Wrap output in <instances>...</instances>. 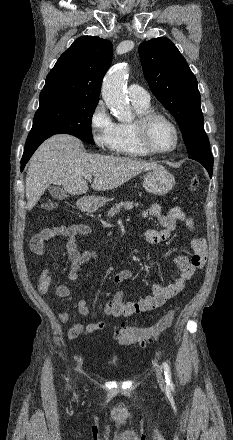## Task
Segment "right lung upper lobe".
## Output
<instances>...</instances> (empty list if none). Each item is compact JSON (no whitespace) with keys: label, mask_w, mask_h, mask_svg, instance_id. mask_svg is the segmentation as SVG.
Returning <instances> with one entry per match:
<instances>
[{"label":"right lung upper lobe","mask_w":233,"mask_h":440,"mask_svg":"<svg viewBox=\"0 0 233 440\" xmlns=\"http://www.w3.org/2000/svg\"><path fill=\"white\" fill-rule=\"evenodd\" d=\"M111 60L110 41L96 36L76 39L48 74L40 102L58 98L99 101Z\"/></svg>","instance_id":"1"}]
</instances>
